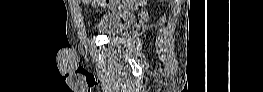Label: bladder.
<instances>
[{
    "label": "bladder",
    "instance_id": "31cf9c89",
    "mask_svg": "<svg viewBox=\"0 0 263 92\" xmlns=\"http://www.w3.org/2000/svg\"><path fill=\"white\" fill-rule=\"evenodd\" d=\"M135 19V13L126 9H112L105 13L98 30L107 36H116L126 30Z\"/></svg>",
    "mask_w": 263,
    "mask_h": 92
}]
</instances>
